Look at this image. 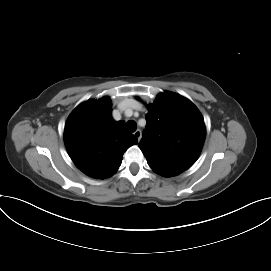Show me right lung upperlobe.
Listing matches in <instances>:
<instances>
[{"label":"right lung upper lobe","mask_w":271,"mask_h":271,"mask_svg":"<svg viewBox=\"0 0 271 271\" xmlns=\"http://www.w3.org/2000/svg\"><path fill=\"white\" fill-rule=\"evenodd\" d=\"M64 141L75 165L86 175L100 179L113 175L124 152L137 144L124 122L111 118L109 97L80 104L67 119Z\"/></svg>","instance_id":"obj_1"}]
</instances>
